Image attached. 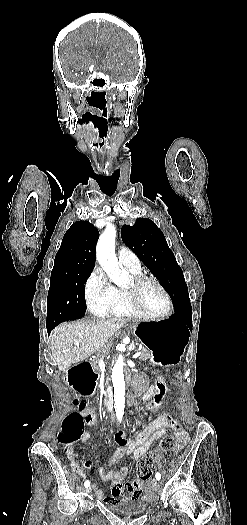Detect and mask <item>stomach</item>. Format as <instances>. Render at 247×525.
<instances>
[{
  "instance_id": "1",
  "label": "stomach",
  "mask_w": 247,
  "mask_h": 525,
  "mask_svg": "<svg viewBox=\"0 0 247 525\" xmlns=\"http://www.w3.org/2000/svg\"><path fill=\"white\" fill-rule=\"evenodd\" d=\"M133 332L151 350L153 363L166 367L180 363L189 340L188 328L173 320L137 323Z\"/></svg>"
}]
</instances>
